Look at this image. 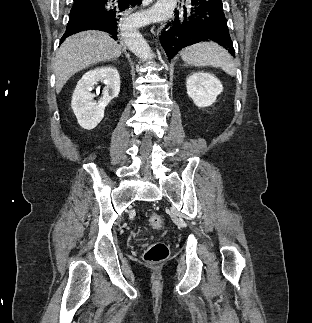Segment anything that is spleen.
Returning a JSON list of instances; mask_svg holds the SVG:
<instances>
[{
  "label": "spleen",
  "instance_id": "spleen-1",
  "mask_svg": "<svg viewBox=\"0 0 312 323\" xmlns=\"http://www.w3.org/2000/svg\"><path fill=\"white\" fill-rule=\"evenodd\" d=\"M181 58L189 66H213V68H222L230 76H235V66L230 54L222 46L213 42H201V44L188 46L181 52Z\"/></svg>",
  "mask_w": 312,
  "mask_h": 323
}]
</instances>
